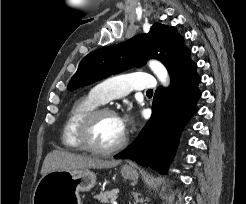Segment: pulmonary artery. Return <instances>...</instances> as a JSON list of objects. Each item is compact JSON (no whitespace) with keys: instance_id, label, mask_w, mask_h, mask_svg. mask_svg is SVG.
I'll list each match as a JSON object with an SVG mask.
<instances>
[{"instance_id":"1","label":"pulmonary artery","mask_w":246,"mask_h":204,"mask_svg":"<svg viewBox=\"0 0 246 204\" xmlns=\"http://www.w3.org/2000/svg\"><path fill=\"white\" fill-rule=\"evenodd\" d=\"M156 87L154 77L145 72L122 74L104 80L96 85L91 94L99 103L123 97L132 90H149Z\"/></svg>"}]
</instances>
